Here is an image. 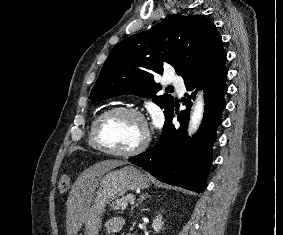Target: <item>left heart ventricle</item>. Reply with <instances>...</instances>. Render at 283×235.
Here are the masks:
<instances>
[{"label": "left heart ventricle", "instance_id": "left-heart-ventricle-1", "mask_svg": "<svg viewBox=\"0 0 283 235\" xmlns=\"http://www.w3.org/2000/svg\"><path fill=\"white\" fill-rule=\"evenodd\" d=\"M142 122L131 114L114 115L102 124L100 138L107 147L126 151L135 148L143 139Z\"/></svg>", "mask_w": 283, "mask_h": 235}]
</instances>
